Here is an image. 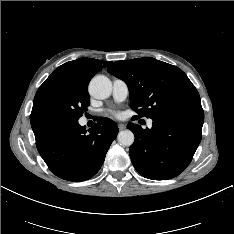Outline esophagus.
Wrapping results in <instances>:
<instances>
[{
  "label": "esophagus",
  "mask_w": 234,
  "mask_h": 234,
  "mask_svg": "<svg viewBox=\"0 0 234 234\" xmlns=\"http://www.w3.org/2000/svg\"><path fill=\"white\" fill-rule=\"evenodd\" d=\"M118 128H119V130H124L126 128V126L122 123H119Z\"/></svg>",
  "instance_id": "esophagus-1"
}]
</instances>
